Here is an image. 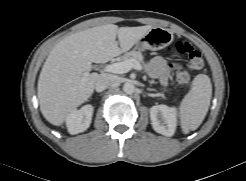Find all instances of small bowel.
Segmentation results:
<instances>
[{
  "label": "small bowel",
  "mask_w": 246,
  "mask_h": 181,
  "mask_svg": "<svg viewBox=\"0 0 246 181\" xmlns=\"http://www.w3.org/2000/svg\"><path fill=\"white\" fill-rule=\"evenodd\" d=\"M170 68L171 66L167 65L166 60L161 56L152 58L148 63V71L152 76L159 78L162 84L167 83Z\"/></svg>",
  "instance_id": "small-bowel-1"
}]
</instances>
